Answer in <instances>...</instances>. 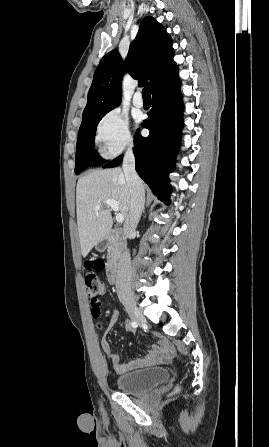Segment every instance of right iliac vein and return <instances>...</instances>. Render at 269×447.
<instances>
[{
  "label": "right iliac vein",
  "mask_w": 269,
  "mask_h": 447,
  "mask_svg": "<svg viewBox=\"0 0 269 447\" xmlns=\"http://www.w3.org/2000/svg\"><path fill=\"white\" fill-rule=\"evenodd\" d=\"M123 305L132 320H134L138 324L146 323V318L143 316L140 309L136 306L134 297H132L130 300L124 301Z\"/></svg>",
  "instance_id": "right-iliac-vein-1"
}]
</instances>
